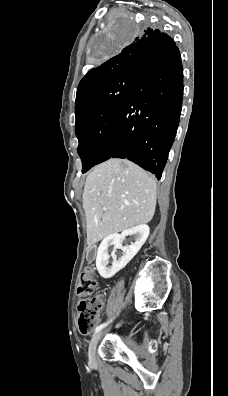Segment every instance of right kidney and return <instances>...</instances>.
Listing matches in <instances>:
<instances>
[{
    "label": "right kidney",
    "mask_w": 228,
    "mask_h": 396,
    "mask_svg": "<svg viewBox=\"0 0 228 396\" xmlns=\"http://www.w3.org/2000/svg\"><path fill=\"white\" fill-rule=\"evenodd\" d=\"M149 226L146 224H141L129 229L124 230L121 234H111L103 239L98 250L96 257V268L100 274L105 279L111 278L118 271L123 269L132 258L139 252L145 241L149 236ZM127 236H133L135 242L131 245L123 246V240ZM114 245V250L111 253L113 259L112 266L108 267V260L110 258L108 254V247ZM116 249L122 250V256L117 259L115 254Z\"/></svg>",
    "instance_id": "ca27d5eb"
}]
</instances>
